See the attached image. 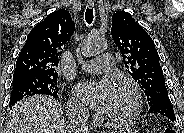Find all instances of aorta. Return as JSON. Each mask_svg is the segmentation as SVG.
<instances>
[{"mask_svg": "<svg viewBox=\"0 0 184 133\" xmlns=\"http://www.w3.org/2000/svg\"><path fill=\"white\" fill-rule=\"evenodd\" d=\"M107 48L106 39L98 34H89L79 45V52L85 58L98 55Z\"/></svg>", "mask_w": 184, "mask_h": 133, "instance_id": "obj_1", "label": "aorta"}]
</instances>
